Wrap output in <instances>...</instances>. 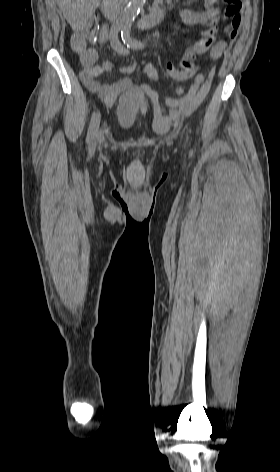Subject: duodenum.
<instances>
[{
	"label": "duodenum",
	"mask_w": 280,
	"mask_h": 472,
	"mask_svg": "<svg viewBox=\"0 0 280 472\" xmlns=\"http://www.w3.org/2000/svg\"><path fill=\"white\" fill-rule=\"evenodd\" d=\"M121 0H103L102 11L104 16L111 22L117 23L121 12ZM165 10L161 7L154 8L145 14L138 22V28H151L163 21Z\"/></svg>",
	"instance_id": "1"
}]
</instances>
